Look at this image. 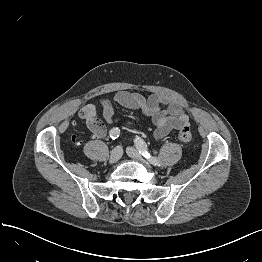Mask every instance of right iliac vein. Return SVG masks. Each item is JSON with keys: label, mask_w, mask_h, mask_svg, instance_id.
Masks as SVG:
<instances>
[{"label": "right iliac vein", "mask_w": 262, "mask_h": 262, "mask_svg": "<svg viewBox=\"0 0 262 262\" xmlns=\"http://www.w3.org/2000/svg\"><path fill=\"white\" fill-rule=\"evenodd\" d=\"M123 155V150L120 146H117L115 147L112 151H111V154H110V157H109V162L110 163H116L119 161V159L122 157Z\"/></svg>", "instance_id": "63e3f726"}]
</instances>
